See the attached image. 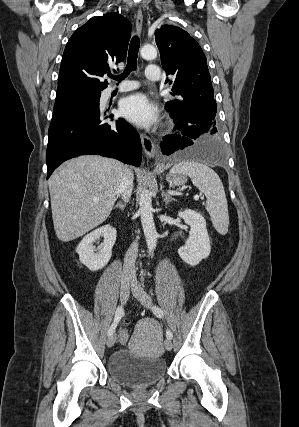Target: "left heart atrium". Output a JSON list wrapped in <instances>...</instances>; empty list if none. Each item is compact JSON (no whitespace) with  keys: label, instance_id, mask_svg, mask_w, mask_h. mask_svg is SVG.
<instances>
[{"label":"left heart atrium","instance_id":"39dd6f15","mask_svg":"<svg viewBox=\"0 0 299 427\" xmlns=\"http://www.w3.org/2000/svg\"><path fill=\"white\" fill-rule=\"evenodd\" d=\"M120 113L130 122L150 127L158 121V110L143 94H134L121 101Z\"/></svg>","mask_w":299,"mask_h":427}]
</instances>
